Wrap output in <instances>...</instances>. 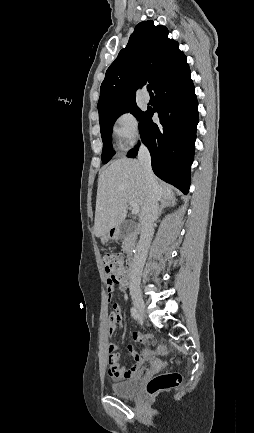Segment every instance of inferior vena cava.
Instances as JSON below:
<instances>
[{"label": "inferior vena cava", "mask_w": 254, "mask_h": 433, "mask_svg": "<svg viewBox=\"0 0 254 433\" xmlns=\"http://www.w3.org/2000/svg\"><path fill=\"white\" fill-rule=\"evenodd\" d=\"M138 160L142 167L147 185V198L140 213L141 233L136 247V253L131 265L130 289H138L141 282L142 270L147 258L150 243L154 234L153 223L158 216V200L155 193L154 174L151 168L149 150L143 144L140 145Z\"/></svg>", "instance_id": "1"}]
</instances>
